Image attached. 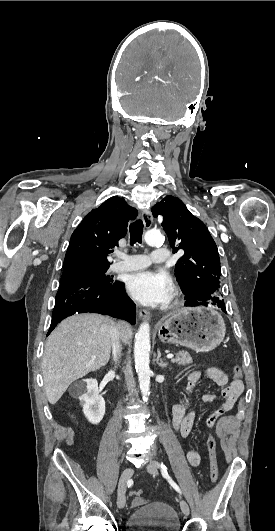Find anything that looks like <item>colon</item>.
I'll list each match as a JSON object with an SVG mask.
<instances>
[{
  "label": "colon",
  "mask_w": 275,
  "mask_h": 531,
  "mask_svg": "<svg viewBox=\"0 0 275 531\" xmlns=\"http://www.w3.org/2000/svg\"><path fill=\"white\" fill-rule=\"evenodd\" d=\"M233 370L236 375H240L242 373V367L239 364H235ZM208 435L209 437L207 439L206 446L208 449L210 477H211V481L215 483L219 477L218 460H217V453H216V441H215L214 436L211 435V432H208ZM130 494L132 496H140L142 494V487H137V489H132L130 491Z\"/></svg>",
  "instance_id": "1"
}]
</instances>
